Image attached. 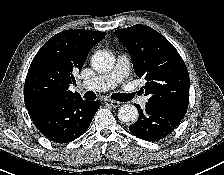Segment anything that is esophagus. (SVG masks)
Instances as JSON below:
<instances>
[{
    "mask_svg": "<svg viewBox=\"0 0 224 175\" xmlns=\"http://www.w3.org/2000/svg\"><path fill=\"white\" fill-rule=\"evenodd\" d=\"M105 103L111 107H118L120 105V102L119 101H115V100H112V99H106Z\"/></svg>",
    "mask_w": 224,
    "mask_h": 175,
    "instance_id": "34e87169",
    "label": "esophagus"
}]
</instances>
